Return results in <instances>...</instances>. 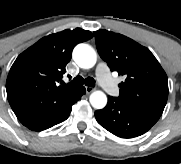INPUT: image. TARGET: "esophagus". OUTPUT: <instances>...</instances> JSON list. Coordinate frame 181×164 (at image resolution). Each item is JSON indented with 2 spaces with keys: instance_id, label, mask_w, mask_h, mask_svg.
Instances as JSON below:
<instances>
[{
  "instance_id": "34e87169",
  "label": "esophagus",
  "mask_w": 181,
  "mask_h": 164,
  "mask_svg": "<svg viewBox=\"0 0 181 164\" xmlns=\"http://www.w3.org/2000/svg\"><path fill=\"white\" fill-rule=\"evenodd\" d=\"M85 89H86L87 94H90L94 90V88H92L90 86H86Z\"/></svg>"
}]
</instances>
